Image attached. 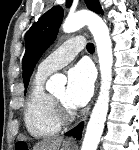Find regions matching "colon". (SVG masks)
Listing matches in <instances>:
<instances>
[{
  "label": "colon",
  "instance_id": "5ec220e1",
  "mask_svg": "<svg viewBox=\"0 0 139 150\" xmlns=\"http://www.w3.org/2000/svg\"><path fill=\"white\" fill-rule=\"evenodd\" d=\"M16 150H28L27 147L21 143L16 145Z\"/></svg>",
  "mask_w": 139,
  "mask_h": 150
}]
</instances>
